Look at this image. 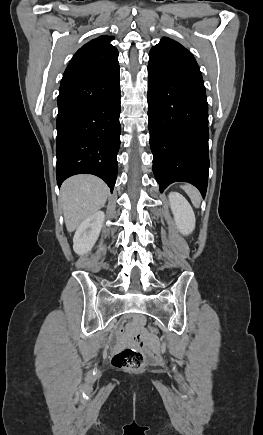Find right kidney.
<instances>
[{
	"mask_svg": "<svg viewBox=\"0 0 263 435\" xmlns=\"http://www.w3.org/2000/svg\"><path fill=\"white\" fill-rule=\"evenodd\" d=\"M104 219V212L98 211L79 225L73 238L75 253L83 255L92 249L99 237Z\"/></svg>",
	"mask_w": 263,
	"mask_h": 435,
	"instance_id": "1",
	"label": "right kidney"
}]
</instances>
